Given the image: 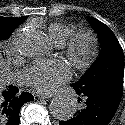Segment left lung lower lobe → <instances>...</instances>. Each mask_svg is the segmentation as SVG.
Masks as SVG:
<instances>
[{
    "mask_svg": "<svg viewBox=\"0 0 125 125\" xmlns=\"http://www.w3.org/2000/svg\"><path fill=\"white\" fill-rule=\"evenodd\" d=\"M77 93L82 98L78 100L79 103L80 101L83 102L82 109L77 111L69 120L59 122V125L109 124L120 104L123 90L106 89L89 94H82L78 91Z\"/></svg>",
    "mask_w": 125,
    "mask_h": 125,
    "instance_id": "obj_1",
    "label": "left lung lower lobe"
}]
</instances>
